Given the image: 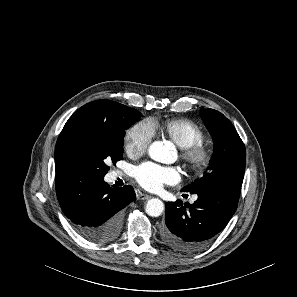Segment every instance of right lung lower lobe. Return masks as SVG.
I'll return each instance as SVG.
<instances>
[{"label": "right lung lower lobe", "instance_id": "right-lung-lower-lobe-1", "mask_svg": "<svg viewBox=\"0 0 297 297\" xmlns=\"http://www.w3.org/2000/svg\"><path fill=\"white\" fill-rule=\"evenodd\" d=\"M56 194L63 213L86 240L106 243L122 227V209L135 199L131 186L110 187L104 177L80 170L56 174Z\"/></svg>", "mask_w": 297, "mask_h": 297}]
</instances>
